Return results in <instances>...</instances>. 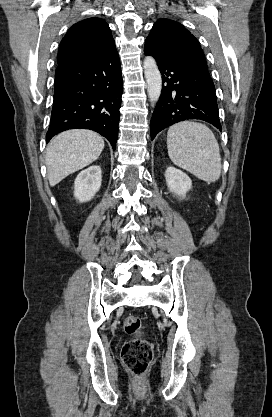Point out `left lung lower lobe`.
<instances>
[{
	"instance_id": "0a47b994",
	"label": "left lung lower lobe",
	"mask_w": 272,
	"mask_h": 417,
	"mask_svg": "<svg viewBox=\"0 0 272 417\" xmlns=\"http://www.w3.org/2000/svg\"><path fill=\"white\" fill-rule=\"evenodd\" d=\"M153 56L162 73V94L150 123L151 140L163 129L184 120L199 119L221 130L213 81L208 69L186 60Z\"/></svg>"
}]
</instances>
